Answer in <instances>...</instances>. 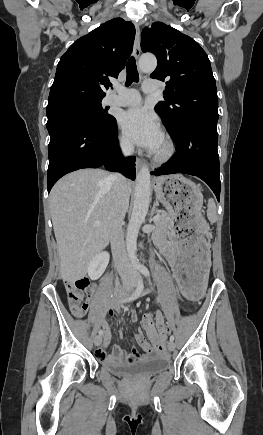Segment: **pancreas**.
<instances>
[{
	"label": "pancreas",
	"mask_w": 263,
	"mask_h": 435,
	"mask_svg": "<svg viewBox=\"0 0 263 435\" xmlns=\"http://www.w3.org/2000/svg\"><path fill=\"white\" fill-rule=\"evenodd\" d=\"M160 216V219L155 223L156 228L152 234V239L155 243L164 240L165 237L170 233L176 213L172 211L162 212Z\"/></svg>",
	"instance_id": "cf45deb5"
}]
</instances>
